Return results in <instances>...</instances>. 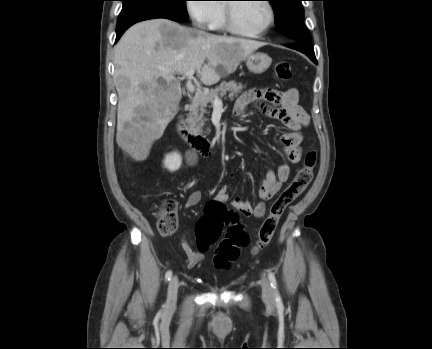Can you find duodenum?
I'll list each match as a JSON object with an SVG mask.
<instances>
[{
    "label": "duodenum",
    "mask_w": 432,
    "mask_h": 349,
    "mask_svg": "<svg viewBox=\"0 0 432 349\" xmlns=\"http://www.w3.org/2000/svg\"><path fill=\"white\" fill-rule=\"evenodd\" d=\"M177 130L180 137L187 142L192 150L204 157L211 155L212 149L209 141L191 128L187 118L178 121Z\"/></svg>",
    "instance_id": "1"
}]
</instances>
